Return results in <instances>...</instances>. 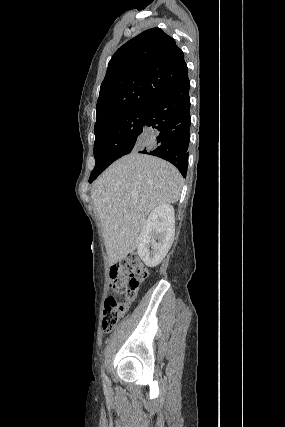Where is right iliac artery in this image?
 <instances>
[{"mask_svg":"<svg viewBox=\"0 0 285 427\" xmlns=\"http://www.w3.org/2000/svg\"><path fill=\"white\" fill-rule=\"evenodd\" d=\"M102 377H103L104 382L105 381L107 382V377L105 376V374L103 372H102Z\"/></svg>","mask_w":285,"mask_h":427,"instance_id":"1","label":"right iliac artery"}]
</instances>
